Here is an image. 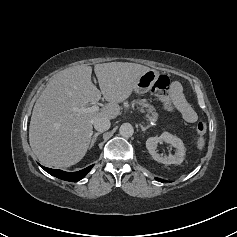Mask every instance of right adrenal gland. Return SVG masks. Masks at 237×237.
Wrapping results in <instances>:
<instances>
[{
	"mask_svg": "<svg viewBox=\"0 0 237 237\" xmlns=\"http://www.w3.org/2000/svg\"><path fill=\"white\" fill-rule=\"evenodd\" d=\"M102 134V132H95L93 137H92V140H91V144L89 146V148H92L97 140V137Z\"/></svg>",
	"mask_w": 237,
	"mask_h": 237,
	"instance_id": "1",
	"label": "right adrenal gland"
}]
</instances>
